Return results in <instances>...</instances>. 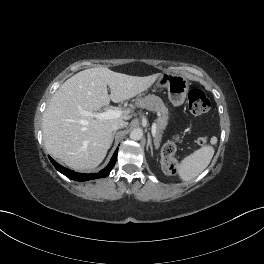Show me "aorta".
<instances>
[{"label": "aorta", "mask_w": 264, "mask_h": 264, "mask_svg": "<svg viewBox=\"0 0 264 264\" xmlns=\"http://www.w3.org/2000/svg\"><path fill=\"white\" fill-rule=\"evenodd\" d=\"M143 136V132L140 128H136L134 130L131 131L130 133V138L132 140H140Z\"/></svg>", "instance_id": "aorta-1"}]
</instances>
